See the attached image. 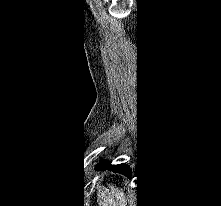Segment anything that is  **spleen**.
<instances>
[{"label":"spleen","mask_w":221,"mask_h":206,"mask_svg":"<svg viewBox=\"0 0 221 206\" xmlns=\"http://www.w3.org/2000/svg\"><path fill=\"white\" fill-rule=\"evenodd\" d=\"M108 189L97 194V201L100 206H127L131 198L124 189L108 185Z\"/></svg>","instance_id":"obj_1"}]
</instances>
